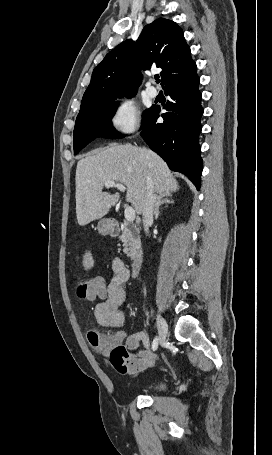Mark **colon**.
Returning a JSON list of instances; mask_svg holds the SVG:
<instances>
[{
  "label": "colon",
  "instance_id": "colon-1",
  "mask_svg": "<svg viewBox=\"0 0 272 455\" xmlns=\"http://www.w3.org/2000/svg\"><path fill=\"white\" fill-rule=\"evenodd\" d=\"M84 271L88 275L77 287V296L81 300H94L103 298L106 294V278L103 274L92 275L94 260L89 253H84L81 258ZM90 343L109 355L111 365L119 372H123L127 366V350L125 346L110 339H106L97 332L88 335Z\"/></svg>",
  "mask_w": 272,
  "mask_h": 455
}]
</instances>
